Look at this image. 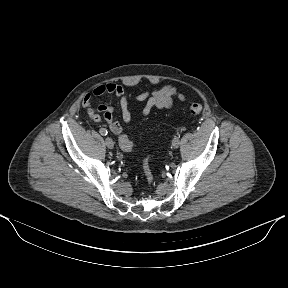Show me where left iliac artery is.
I'll list each match as a JSON object with an SVG mask.
<instances>
[{
    "label": "left iliac artery",
    "instance_id": "44dca946",
    "mask_svg": "<svg viewBox=\"0 0 288 288\" xmlns=\"http://www.w3.org/2000/svg\"><path fill=\"white\" fill-rule=\"evenodd\" d=\"M182 137H183V132L182 131H177L176 133L173 134V139L174 140H179Z\"/></svg>",
    "mask_w": 288,
    "mask_h": 288
}]
</instances>
